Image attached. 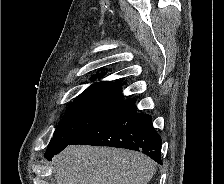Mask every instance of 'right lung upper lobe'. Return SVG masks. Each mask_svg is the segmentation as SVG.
<instances>
[{"instance_id": "1", "label": "right lung upper lobe", "mask_w": 224, "mask_h": 184, "mask_svg": "<svg viewBox=\"0 0 224 184\" xmlns=\"http://www.w3.org/2000/svg\"><path fill=\"white\" fill-rule=\"evenodd\" d=\"M104 75V73H102V74H100V75H94V76H92L91 77V80H95V79H97L98 77L100 78V77H102ZM97 83H99V84H114V85H119V86H121V84H119V83H111V82H109V81H99V82H97Z\"/></svg>"}]
</instances>
